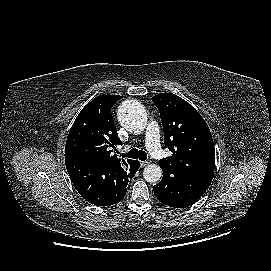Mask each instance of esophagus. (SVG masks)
I'll return each mask as SVG.
<instances>
[{"label": "esophagus", "instance_id": "obj_1", "mask_svg": "<svg viewBox=\"0 0 271 271\" xmlns=\"http://www.w3.org/2000/svg\"><path fill=\"white\" fill-rule=\"evenodd\" d=\"M150 163H151L150 160L142 161L141 162V167H145V166L149 165Z\"/></svg>", "mask_w": 271, "mask_h": 271}]
</instances>
